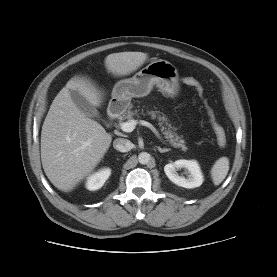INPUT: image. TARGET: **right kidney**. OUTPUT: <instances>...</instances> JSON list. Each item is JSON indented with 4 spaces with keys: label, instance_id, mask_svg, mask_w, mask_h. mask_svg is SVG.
<instances>
[{
    "label": "right kidney",
    "instance_id": "1",
    "mask_svg": "<svg viewBox=\"0 0 277 277\" xmlns=\"http://www.w3.org/2000/svg\"><path fill=\"white\" fill-rule=\"evenodd\" d=\"M111 174V169L104 168L87 178L86 188L90 191L100 189Z\"/></svg>",
    "mask_w": 277,
    "mask_h": 277
}]
</instances>
